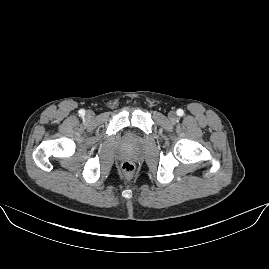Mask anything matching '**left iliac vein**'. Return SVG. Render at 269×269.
<instances>
[{"mask_svg": "<svg viewBox=\"0 0 269 269\" xmlns=\"http://www.w3.org/2000/svg\"><path fill=\"white\" fill-rule=\"evenodd\" d=\"M168 119L170 120V121H172V122H174V121H176V119H177V115H176V113L175 112H170L169 114H168Z\"/></svg>", "mask_w": 269, "mask_h": 269, "instance_id": "1", "label": "left iliac vein"}]
</instances>
